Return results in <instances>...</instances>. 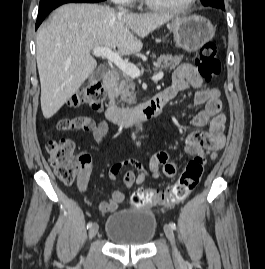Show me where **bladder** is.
<instances>
[{
	"label": "bladder",
	"mask_w": 265,
	"mask_h": 269,
	"mask_svg": "<svg viewBox=\"0 0 265 269\" xmlns=\"http://www.w3.org/2000/svg\"><path fill=\"white\" fill-rule=\"evenodd\" d=\"M157 220L152 209H122L108 216L105 233L113 244L146 246L156 235Z\"/></svg>",
	"instance_id": "obj_1"
}]
</instances>
